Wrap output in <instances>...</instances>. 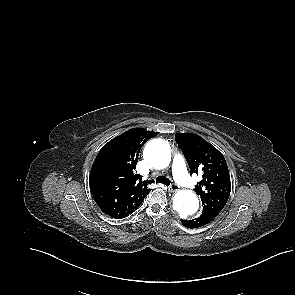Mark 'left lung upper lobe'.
Returning <instances> with one entry per match:
<instances>
[{
  "label": "left lung upper lobe",
  "mask_w": 295,
  "mask_h": 295,
  "mask_svg": "<svg viewBox=\"0 0 295 295\" xmlns=\"http://www.w3.org/2000/svg\"><path fill=\"white\" fill-rule=\"evenodd\" d=\"M175 140L187 160L190 174H202L195 191L201 197L203 211L220 212L231 191L230 175L223 154L197 134L177 133Z\"/></svg>",
  "instance_id": "obj_1"
}]
</instances>
